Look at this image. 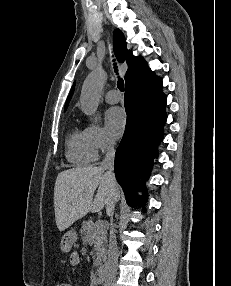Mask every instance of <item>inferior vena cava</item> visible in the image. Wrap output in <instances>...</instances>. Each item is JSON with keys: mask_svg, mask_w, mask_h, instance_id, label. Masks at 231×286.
<instances>
[{"mask_svg": "<svg viewBox=\"0 0 231 286\" xmlns=\"http://www.w3.org/2000/svg\"><path fill=\"white\" fill-rule=\"evenodd\" d=\"M114 158H115L114 142L107 141L106 155L101 163V169L103 171H106L105 177L111 184L116 183L114 174ZM113 211L114 207L107 206L106 208L107 215L112 216ZM117 262H118V249L116 243V236H115L114 226L113 224H111L109 246H108V257L105 266L104 286H115Z\"/></svg>", "mask_w": 231, "mask_h": 286, "instance_id": "1", "label": "inferior vena cava"}]
</instances>
